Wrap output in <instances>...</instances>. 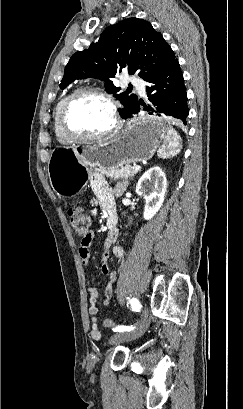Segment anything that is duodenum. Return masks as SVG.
Returning a JSON list of instances; mask_svg holds the SVG:
<instances>
[{
    "instance_id": "obj_1",
    "label": "duodenum",
    "mask_w": 243,
    "mask_h": 409,
    "mask_svg": "<svg viewBox=\"0 0 243 409\" xmlns=\"http://www.w3.org/2000/svg\"><path fill=\"white\" fill-rule=\"evenodd\" d=\"M108 215L107 226L109 232H112L116 229V215L114 213H109Z\"/></svg>"
}]
</instances>
